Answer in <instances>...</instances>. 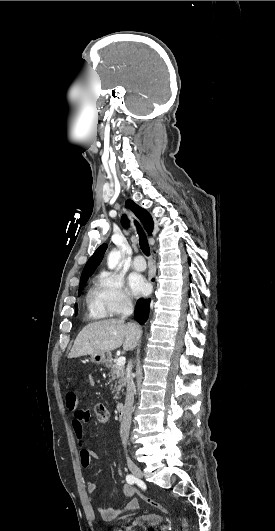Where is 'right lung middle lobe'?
Returning a JSON list of instances; mask_svg holds the SVG:
<instances>
[{"instance_id": "dd1d6c3e", "label": "right lung middle lobe", "mask_w": 275, "mask_h": 531, "mask_svg": "<svg viewBox=\"0 0 275 531\" xmlns=\"http://www.w3.org/2000/svg\"><path fill=\"white\" fill-rule=\"evenodd\" d=\"M85 283H86V282H84L83 284H80V286H79V292H78L79 294H81L82 288H83V286H84ZM76 313H77V304H76Z\"/></svg>"}]
</instances>
